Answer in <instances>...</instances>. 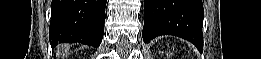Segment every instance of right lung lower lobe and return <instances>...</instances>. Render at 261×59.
<instances>
[{"instance_id":"1","label":"right lung lower lobe","mask_w":261,"mask_h":59,"mask_svg":"<svg viewBox=\"0 0 261 59\" xmlns=\"http://www.w3.org/2000/svg\"><path fill=\"white\" fill-rule=\"evenodd\" d=\"M107 0H52L49 39L98 47L102 41Z\"/></svg>"}]
</instances>
